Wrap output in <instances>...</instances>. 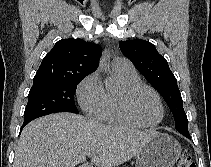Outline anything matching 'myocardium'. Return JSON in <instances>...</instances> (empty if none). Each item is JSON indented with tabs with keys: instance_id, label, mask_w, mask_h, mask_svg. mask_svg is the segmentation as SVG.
Returning <instances> with one entry per match:
<instances>
[{
	"instance_id": "myocardium-1",
	"label": "myocardium",
	"mask_w": 211,
	"mask_h": 167,
	"mask_svg": "<svg viewBox=\"0 0 211 167\" xmlns=\"http://www.w3.org/2000/svg\"><path fill=\"white\" fill-rule=\"evenodd\" d=\"M140 90H147L149 92H151L154 97L156 98L159 107H160V111H161V115L160 118L157 122L153 123V124H145L143 122H141L132 112L131 108H130V99L131 97L138 91ZM117 100H118V106L119 109L121 111V113L132 123H134L135 125L139 126V127H143V128H155L157 126H159L165 116V108L162 102V99L159 95V93L151 86L144 84V83H136V84H132V85H128L125 86L123 88L120 89L118 96H117Z\"/></svg>"
}]
</instances>
